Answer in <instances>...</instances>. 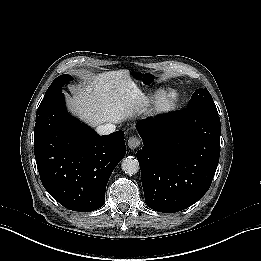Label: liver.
Segmentation results:
<instances>
[{
    "label": "liver",
    "mask_w": 261,
    "mask_h": 261,
    "mask_svg": "<svg viewBox=\"0 0 261 261\" xmlns=\"http://www.w3.org/2000/svg\"><path fill=\"white\" fill-rule=\"evenodd\" d=\"M117 73L95 75L86 86L68 97L69 110L92 127L119 123L129 115V105L116 84Z\"/></svg>",
    "instance_id": "1"
}]
</instances>
